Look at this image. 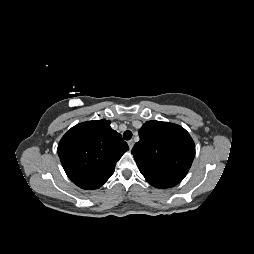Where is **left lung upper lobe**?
<instances>
[{"instance_id":"left-lung-upper-lobe-1","label":"left lung upper lobe","mask_w":254,"mask_h":254,"mask_svg":"<svg viewBox=\"0 0 254 254\" xmlns=\"http://www.w3.org/2000/svg\"><path fill=\"white\" fill-rule=\"evenodd\" d=\"M139 137L132 154L146 181L162 189L179 184L195 156L189 133L177 124L148 121L140 128Z\"/></svg>"}]
</instances>
